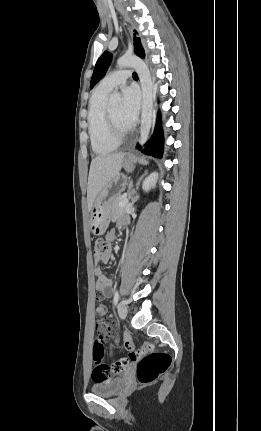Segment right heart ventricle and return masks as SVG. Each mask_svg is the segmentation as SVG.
<instances>
[{
    "instance_id": "1",
    "label": "right heart ventricle",
    "mask_w": 261,
    "mask_h": 431,
    "mask_svg": "<svg viewBox=\"0 0 261 431\" xmlns=\"http://www.w3.org/2000/svg\"><path fill=\"white\" fill-rule=\"evenodd\" d=\"M108 92L95 90L89 105L88 130L92 150L97 155H107L115 151L119 143L114 141L105 121L104 101Z\"/></svg>"
}]
</instances>
